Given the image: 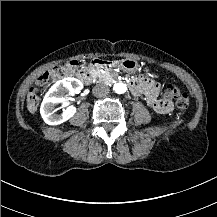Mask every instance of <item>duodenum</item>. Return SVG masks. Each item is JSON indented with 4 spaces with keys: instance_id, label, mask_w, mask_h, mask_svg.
I'll return each mask as SVG.
<instances>
[{
    "instance_id": "410a0bca",
    "label": "duodenum",
    "mask_w": 217,
    "mask_h": 217,
    "mask_svg": "<svg viewBox=\"0 0 217 217\" xmlns=\"http://www.w3.org/2000/svg\"><path fill=\"white\" fill-rule=\"evenodd\" d=\"M117 63L113 60H105V59H95L82 70L81 79L85 83H90L93 79V71L99 67H114ZM129 88L132 93L138 92L140 90V86L138 82L131 81L129 83Z\"/></svg>"
}]
</instances>
